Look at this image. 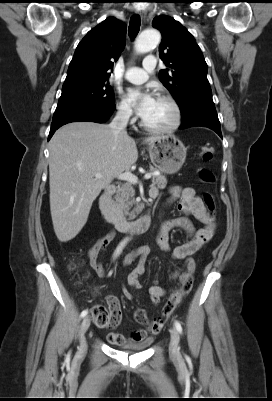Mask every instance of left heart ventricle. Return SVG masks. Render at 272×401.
I'll use <instances>...</instances> for the list:
<instances>
[{
	"instance_id": "b2bd125f",
	"label": "left heart ventricle",
	"mask_w": 272,
	"mask_h": 401,
	"mask_svg": "<svg viewBox=\"0 0 272 401\" xmlns=\"http://www.w3.org/2000/svg\"><path fill=\"white\" fill-rule=\"evenodd\" d=\"M173 116L171 105L165 100L155 98L151 109L142 119L149 126L165 127L172 122Z\"/></svg>"
}]
</instances>
